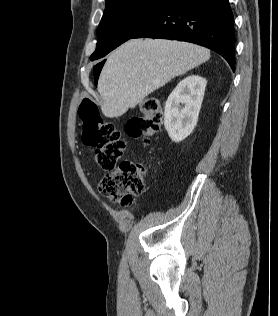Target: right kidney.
<instances>
[{"label":"right kidney","mask_w":278,"mask_h":316,"mask_svg":"<svg viewBox=\"0 0 278 316\" xmlns=\"http://www.w3.org/2000/svg\"><path fill=\"white\" fill-rule=\"evenodd\" d=\"M207 81L190 75L179 82L165 104L164 126L173 142L189 136L197 124ZM181 104L184 107L181 108Z\"/></svg>","instance_id":"ca27d5eb"}]
</instances>
